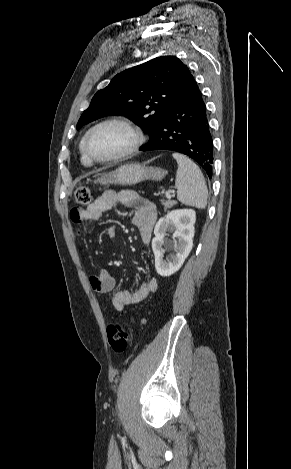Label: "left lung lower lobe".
<instances>
[{"mask_svg":"<svg viewBox=\"0 0 291 469\" xmlns=\"http://www.w3.org/2000/svg\"><path fill=\"white\" fill-rule=\"evenodd\" d=\"M156 149L183 153L212 177L213 139L202 94L193 76L167 109L147 145L140 148Z\"/></svg>","mask_w":291,"mask_h":469,"instance_id":"left-lung-lower-lobe-1","label":"left lung lower lobe"}]
</instances>
